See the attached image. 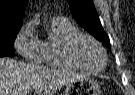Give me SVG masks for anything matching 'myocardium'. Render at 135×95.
I'll return each instance as SVG.
<instances>
[{
  "instance_id": "myocardium-1",
  "label": "myocardium",
  "mask_w": 135,
  "mask_h": 95,
  "mask_svg": "<svg viewBox=\"0 0 135 95\" xmlns=\"http://www.w3.org/2000/svg\"><path fill=\"white\" fill-rule=\"evenodd\" d=\"M81 39H87V40L91 41L101 51L104 62L100 68L94 69V68L87 67V66L83 65L81 62H79L77 60V58L75 57L74 48H75V45L77 44V42ZM61 54H62V57L71 65L75 66L76 68L86 70V71H89L92 73H98V72H101L102 70H104L107 65V62H108L107 53H106L104 47L100 44V42L97 41L91 35L83 33V32H77V33L71 35L70 37H68V39L65 41V43L62 46Z\"/></svg>"
}]
</instances>
